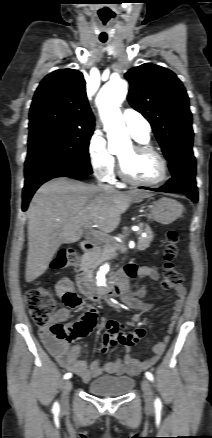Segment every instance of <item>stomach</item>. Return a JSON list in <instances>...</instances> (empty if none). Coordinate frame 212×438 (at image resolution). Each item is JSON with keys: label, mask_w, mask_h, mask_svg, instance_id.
<instances>
[{"label": "stomach", "mask_w": 212, "mask_h": 438, "mask_svg": "<svg viewBox=\"0 0 212 438\" xmlns=\"http://www.w3.org/2000/svg\"><path fill=\"white\" fill-rule=\"evenodd\" d=\"M183 207L176 200L161 198L155 201L151 208V215L160 224L168 225L174 222L182 214Z\"/></svg>", "instance_id": "stomach-1"}]
</instances>
